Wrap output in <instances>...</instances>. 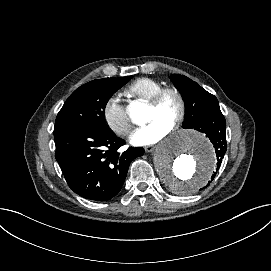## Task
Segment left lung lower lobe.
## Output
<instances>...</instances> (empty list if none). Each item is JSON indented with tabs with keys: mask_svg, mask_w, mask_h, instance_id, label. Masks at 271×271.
<instances>
[{
	"mask_svg": "<svg viewBox=\"0 0 271 271\" xmlns=\"http://www.w3.org/2000/svg\"><path fill=\"white\" fill-rule=\"evenodd\" d=\"M196 130L205 133L210 139L215 148L216 153V171L213 172L211 180L208 182L207 186L212 182L216 176L217 171L220 168L222 159L227 150L226 144V121L224 115L220 109L214 110L207 117H205L198 125Z\"/></svg>",
	"mask_w": 271,
	"mask_h": 271,
	"instance_id": "left-lung-lower-lobe-1",
	"label": "left lung lower lobe"
}]
</instances>
